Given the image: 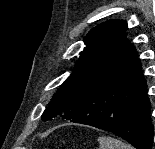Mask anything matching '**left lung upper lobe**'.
Returning <instances> with one entry per match:
<instances>
[{"instance_id":"obj_1","label":"left lung upper lobe","mask_w":155,"mask_h":149,"mask_svg":"<svg viewBox=\"0 0 155 149\" xmlns=\"http://www.w3.org/2000/svg\"><path fill=\"white\" fill-rule=\"evenodd\" d=\"M126 29V21L109 20L87 34L84 51L43 112V121L64 119L70 113L80 96L113 65L125 42Z\"/></svg>"}]
</instances>
